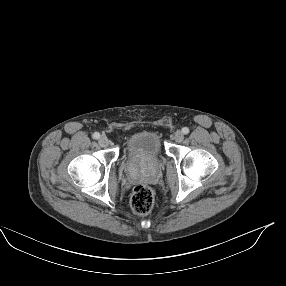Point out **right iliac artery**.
<instances>
[{
  "mask_svg": "<svg viewBox=\"0 0 286 286\" xmlns=\"http://www.w3.org/2000/svg\"><path fill=\"white\" fill-rule=\"evenodd\" d=\"M93 138H94V139H99V138H100V134H99L98 132H95V133L93 134Z\"/></svg>",
  "mask_w": 286,
  "mask_h": 286,
  "instance_id": "82829eb1",
  "label": "right iliac artery"
}]
</instances>
